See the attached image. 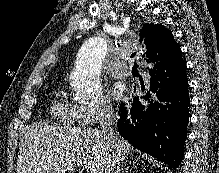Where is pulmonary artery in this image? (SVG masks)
<instances>
[{
  "instance_id": "1",
  "label": "pulmonary artery",
  "mask_w": 219,
  "mask_h": 173,
  "mask_svg": "<svg viewBox=\"0 0 219 173\" xmlns=\"http://www.w3.org/2000/svg\"><path fill=\"white\" fill-rule=\"evenodd\" d=\"M129 72L128 68H122L119 63L113 64L108 70V74L115 79L125 78L129 75Z\"/></svg>"
}]
</instances>
